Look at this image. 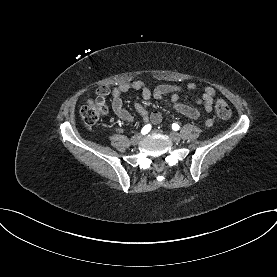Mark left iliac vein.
<instances>
[{"instance_id":"left-iliac-vein-1","label":"left iliac vein","mask_w":277,"mask_h":277,"mask_svg":"<svg viewBox=\"0 0 277 277\" xmlns=\"http://www.w3.org/2000/svg\"><path fill=\"white\" fill-rule=\"evenodd\" d=\"M169 136H170V138L173 140V141H175V142H178V141H180V139H181V137H180V135L177 133V132H170L169 133Z\"/></svg>"}]
</instances>
